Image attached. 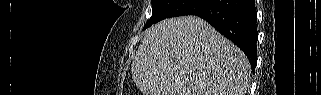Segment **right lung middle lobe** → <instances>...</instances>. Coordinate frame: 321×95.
<instances>
[{"label":"right lung middle lobe","instance_id":"dd1d6c3e","mask_svg":"<svg viewBox=\"0 0 321 95\" xmlns=\"http://www.w3.org/2000/svg\"><path fill=\"white\" fill-rule=\"evenodd\" d=\"M209 0H152V16L144 30L165 18L190 15Z\"/></svg>","mask_w":321,"mask_h":95}]
</instances>
